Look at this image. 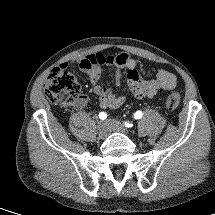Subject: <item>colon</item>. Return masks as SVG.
Segmentation results:
<instances>
[{
  "label": "colon",
  "mask_w": 215,
  "mask_h": 215,
  "mask_svg": "<svg viewBox=\"0 0 215 215\" xmlns=\"http://www.w3.org/2000/svg\"><path fill=\"white\" fill-rule=\"evenodd\" d=\"M67 89L72 90V86L65 76L63 66L59 64L47 75L42 86L33 90L30 102L34 107L51 109L60 103L62 92H66ZM193 97V89L186 87L184 93L173 104V107L179 111H184L191 105Z\"/></svg>",
  "instance_id": "colon-1"
}]
</instances>
